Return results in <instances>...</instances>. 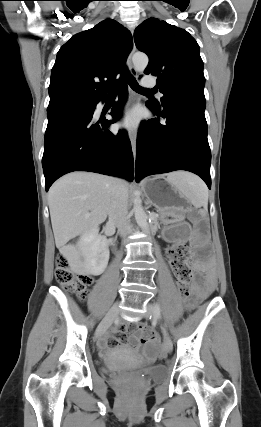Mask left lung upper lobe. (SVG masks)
<instances>
[{"label": "left lung upper lobe", "mask_w": 261, "mask_h": 427, "mask_svg": "<svg viewBox=\"0 0 261 427\" xmlns=\"http://www.w3.org/2000/svg\"><path fill=\"white\" fill-rule=\"evenodd\" d=\"M134 41L149 57L144 73L157 76L159 90L164 94L162 105L179 96L205 100L199 45L186 30L150 18L135 29ZM148 103L160 108L157 101Z\"/></svg>", "instance_id": "obj_1"}]
</instances>
